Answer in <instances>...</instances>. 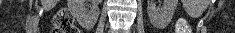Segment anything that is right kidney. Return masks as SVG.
<instances>
[{
    "instance_id": "right-kidney-1",
    "label": "right kidney",
    "mask_w": 235,
    "mask_h": 33,
    "mask_svg": "<svg viewBox=\"0 0 235 33\" xmlns=\"http://www.w3.org/2000/svg\"><path fill=\"white\" fill-rule=\"evenodd\" d=\"M85 1L86 0H69L68 7L77 19L86 20L89 18L92 21H96L99 15L98 4L101 0H92L90 10L86 8Z\"/></svg>"
}]
</instances>
